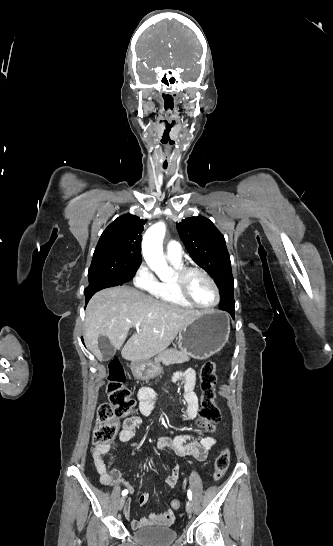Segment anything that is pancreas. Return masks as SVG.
Instances as JSON below:
<instances>
[{"label": "pancreas", "instance_id": "cf45deb5", "mask_svg": "<svg viewBox=\"0 0 333 546\" xmlns=\"http://www.w3.org/2000/svg\"><path fill=\"white\" fill-rule=\"evenodd\" d=\"M189 360V355L183 351H178L176 349H167L160 352L155 358L154 362L157 364L163 363L166 366L173 364H181Z\"/></svg>", "mask_w": 333, "mask_h": 546}]
</instances>
